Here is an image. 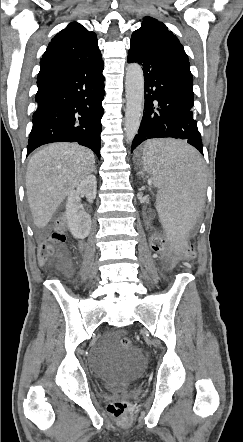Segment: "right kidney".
<instances>
[{
    "instance_id": "ca27d5eb",
    "label": "right kidney",
    "mask_w": 243,
    "mask_h": 442,
    "mask_svg": "<svg viewBox=\"0 0 243 442\" xmlns=\"http://www.w3.org/2000/svg\"><path fill=\"white\" fill-rule=\"evenodd\" d=\"M97 181L94 175L87 176L80 182L77 189L71 191L66 203V219L72 235L77 239H84L91 229V216L78 206L79 195H85L89 201L96 197Z\"/></svg>"
}]
</instances>
